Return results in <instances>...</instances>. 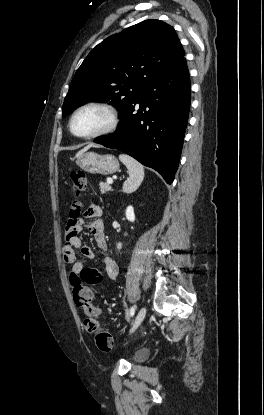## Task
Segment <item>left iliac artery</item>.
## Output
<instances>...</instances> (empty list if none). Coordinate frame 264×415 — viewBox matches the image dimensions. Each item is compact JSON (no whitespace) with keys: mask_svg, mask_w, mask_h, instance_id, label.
I'll return each instance as SVG.
<instances>
[{"mask_svg":"<svg viewBox=\"0 0 264 415\" xmlns=\"http://www.w3.org/2000/svg\"><path fill=\"white\" fill-rule=\"evenodd\" d=\"M134 313H135V307H134V306H132V307L130 308V316H133V315H134Z\"/></svg>","mask_w":264,"mask_h":415,"instance_id":"44dca946","label":"left iliac artery"}]
</instances>
